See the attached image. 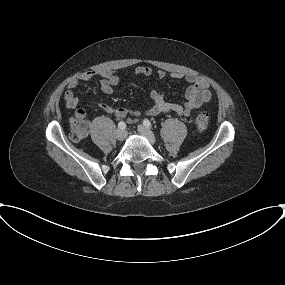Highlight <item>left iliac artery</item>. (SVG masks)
<instances>
[{
  "label": "left iliac artery",
  "mask_w": 285,
  "mask_h": 285,
  "mask_svg": "<svg viewBox=\"0 0 285 285\" xmlns=\"http://www.w3.org/2000/svg\"><path fill=\"white\" fill-rule=\"evenodd\" d=\"M143 125L149 129H151V127H152V125L148 119L143 120Z\"/></svg>",
  "instance_id": "left-iliac-artery-1"
}]
</instances>
